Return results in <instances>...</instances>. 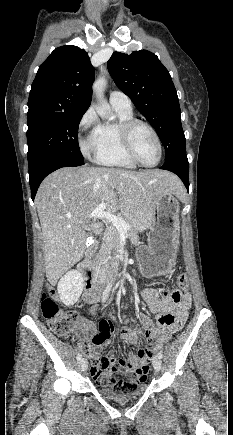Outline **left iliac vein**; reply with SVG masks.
<instances>
[{"mask_svg": "<svg viewBox=\"0 0 233 435\" xmlns=\"http://www.w3.org/2000/svg\"><path fill=\"white\" fill-rule=\"evenodd\" d=\"M152 364H153L154 369L159 371L161 369V366H162L161 358H159L158 356L154 357L152 360Z\"/></svg>", "mask_w": 233, "mask_h": 435, "instance_id": "left-iliac-vein-1", "label": "left iliac vein"}]
</instances>
